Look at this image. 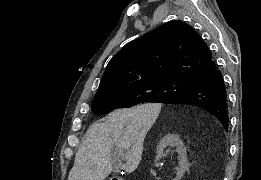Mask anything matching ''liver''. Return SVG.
I'll return each mask as SVG.
<instances>
[{
	"instance_id": "obj_1",
	"label": "liver",
	"mask_w": 261,
	"mask_h": 180,
	"mask_svg": "<svg viewBox=\"0 0 261 180\" xmlns=\"http://www.w3.org/2000/svg\"><path fill=\"white\" fill-rule=\"evenodd\" d=\"M159 104H142L130 110H115L104 122H95L76 152L68 180H105L118 160L131 174L138 168L147 132L158 116ZM126 148V156H121Z\"/></svg>"
}]
</instances>
